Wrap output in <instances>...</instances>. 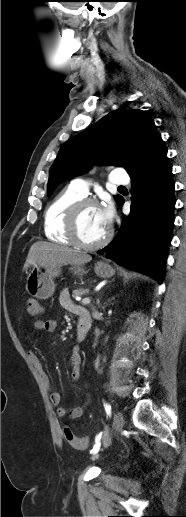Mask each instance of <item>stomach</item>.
<instances>
[{"label": "stomach", "instance_id": "0dacf381", "mask_svg": "<svg viewBox=\"0 0 186 517\" xmlns=\"http://www.w3.org/2000/svg\"><path fill=\"white\" fill-rule=\"evenodd\" d=\"M76 275H83L86 273L82 265H74L71 268ZM95 273L102 278L112 277L115 270L106 262L100 261L95 264ZM61 274V265L56 266H34L29 272L26 281V290L29 295L39 298L47 299L51 297L55 291L54 278Z\"/></svg>", "mask_w": 186, "mask_h": 517}]
</instances>
